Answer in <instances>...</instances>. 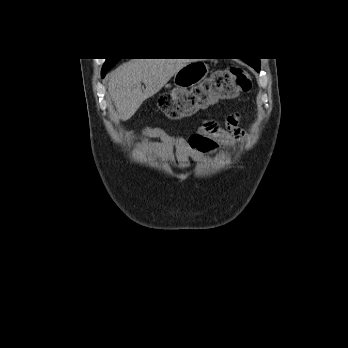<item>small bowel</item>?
I'll return each instance as SVG.
<instances>
[{"mask_svg": "<svg viewBox=\"0 0 348 348\" xmlns=\"http://www.w3.org/2000/svg\"><path fill=\"white\" fill-rule=\"evenodd\" d=\"M207 133L219 134L215 126H210L206 122L201 128L200 133L193 134L188 138L183 136H174L165 133L159 129H151L147 134L157 137L160 142L154 145V149L168 150L170 147H175L177 152V159L182 169L188 168L193 156L197 153H211L218 150V143L206 136ZM227 137L234 140H243L246 137L245 130L240 126V119L238 114H231L226 120V134Z\"/></svg>", "mask_w": 348, "mask_h": 348, "instance_id": "c3829d8e", "label": "small bowel"}]
</instances>
